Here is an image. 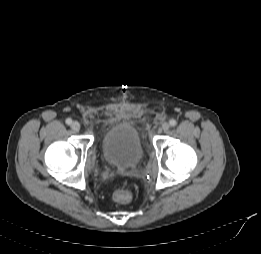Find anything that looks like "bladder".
<instances>
[{"instance_id":"bladder-1","label":"bladder","mask_w":261,"mask_h":254,"mask_svg":"<svg viewBox=\"0 0 261 254\" xmlns=\"http://www.w3.org/2000/svg\"><path fill=\"white\" fill-rule=\"evenodd\" d=\"M104 159L126 170L136 166L143 156V144L138 129L130 123L111 126L101 141Z\"/></svg>"}]
</instances>
